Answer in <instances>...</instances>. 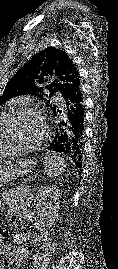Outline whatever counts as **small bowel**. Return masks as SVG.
Here are the masks:
<instances>
[{"label": "small bowel", "instance_id": "small-bowel-1", "mask_svg": "<svg viewBox=\"0 0 118 269\" xmlns=\"http://www.w3.org/2000/svg\"><path fill=\"white\" fill-rule=\"evenodd\" d=\"M31 199L32 196L30 193L11 197L8 200L7 216L10 218L17 215L29 217ZM32 221L35 225V230L14 234L12 236L13 243L22 244L25 241H30L35 246L46 251L48 236L45 232H43L41 225L34 218ZM0 256H4L0 269L10 268L13 264L20 265L29 259L28 251L25 248L12 251L9 247H6L4 241H0Z\"/></svg>", "mask_w": 118, "mask_h": 269}]
</instances>
